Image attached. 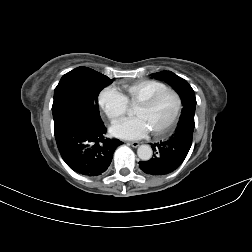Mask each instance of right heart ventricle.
<instances>
[{
	"label": "right heart ventricle",
	"instance_id": "right-heart-ventricle-1",
	"mask_svg": "<svg viewBox=\"0 0 252 252\" xmlns=\"http://www.w3.org/2000/svg\"><path fill=\"white\" fill-rule=\"evenodd\" d=\"M167 86L156 80H140L123 86L125 97L131 103H139Z\"/></svg>",
	"mask_w": 252,
	"mask_h": 252
}]
</instances>
